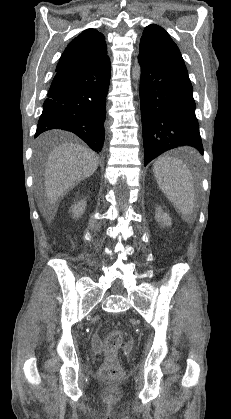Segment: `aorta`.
I'll use <instances>...</instances> for the list:
<instances>
[{"instance_id":"obj_1","label":"aorta","mask_w":231,"mask_h":419,"mask_svg":"<svg viewBox=\"0 0 231 419\" xmlns=\"http://www.w3.org/2000/svg\"><path fill=\"white\" fill-rule=\"evenodd\" d=\"M140 77H141V67L138 63H136L132 69V78L135 81H138L140 80Z\"/></svg>"}]
</instances>
